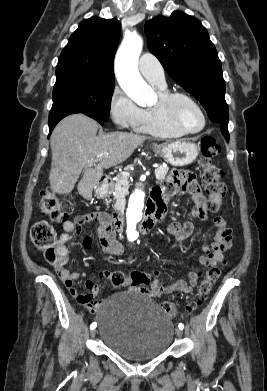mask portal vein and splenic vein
<instances>
[{
  "label": "portal vein and splenic vein",
  "mask_w": 267,
  "mask_h": 391,
  "mask_svg": "<svg viewBox=\"0 0 267 391\" xmlns=\"http://www.w3.org/2000/svg\"><path fill=\"white\" fill-rule=\"evenodd\" d=\"M108 154H105V155H101L99 156L98 158H96L95 160H91L87 163V166H92L93 164L99 162L104 156H107ZM154 168H158V165L157 164H154L153 165ZM123 177H129V173L128 172H124L121 174Z\"/></svg>",
  "instance_id": "18ae733b"
}]
</instances>
